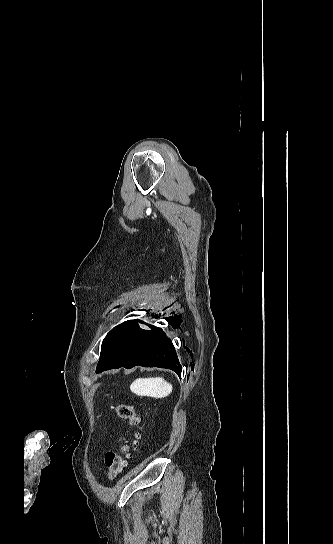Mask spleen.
Listing matches in <instances>:
<instances>
[{"label": "spleen", "instance_id": "obj_1", "mask_svg": "<svg viewBox=\"0 0 333 544\" xmlns=\"http://www.w3.org/2000/svg\"><path fill=\"white\" fill-rule=\"evenodd\" d=\"M130 389L138 396L165 398L172 392L173 386L163 378L156 377L137 379L131 384Z\"/></svg>", "mask_w": 333, "mask_h": 544}]
</instances>
